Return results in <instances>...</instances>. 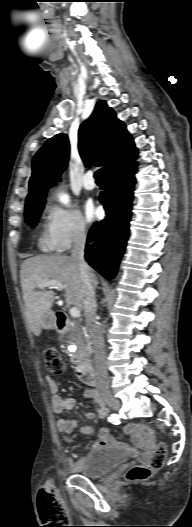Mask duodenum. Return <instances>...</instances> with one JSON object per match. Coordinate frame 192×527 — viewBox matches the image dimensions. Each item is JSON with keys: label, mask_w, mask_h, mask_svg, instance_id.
I'll use <instances>...</instances> for the list:
<instances>
[{"label": "duodenum", "mask_w": 192, "mask_h": 527, "mask_svg": "<svg viewBox=\"0 0 192 527\" xmlns=\"http://www.w3.org/2000/svg\"><path fill=\"white\" fill-rule=\"evenodd\" d=\"M55 321L58 331L64 332L67 328L66 315L63 312H56ZM76 374L84 383L88 385L96 384V378L89 364L80 362L76 368Z\"/></svg>", "instance_id": "duodenum-1"}]
</instances>
